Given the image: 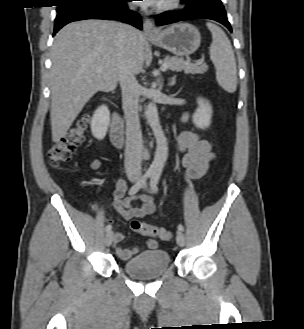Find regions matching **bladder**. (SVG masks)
<instances>
[{"instance_id": "obj_1", "label": "bladder", "mask_w": 304, "mask_h": 329, "mask_svg": "<svg viewBox=\"0 0 304 329\" xmlns=\"http://www.w3.org/2000/svg\"><path fill=\"white\" fill-rule=\"evenodd\" d=\"M170 255L162 249H152L127 259L123 270L137 279L156 278L163 274L170 266Z\"/></svg>"}]
</instances>
